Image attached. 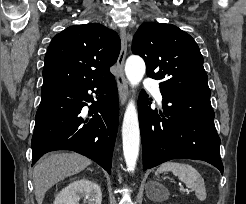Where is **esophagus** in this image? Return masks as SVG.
I'll use <instances>...</instances> for the list:
<instances>
[{
    "mask_svg": "<svg viewBox=\"0 0 246 204\" xmlns=\"http://www.w3.org/2000/svg\"><path fill=\"white\" fill-rule=\"evenodd\" d=\"M120 40H121V50L117 60L118 73L116 76V81H117L120 101L121 104L124 106L129 96L128 82L124 75V62L127 54V40H128V35L125 28L120 29Z\"/></svg>",
    "mask_w": 246,
    "mask_h": 204,
    "instance_id": "esophagus-1",
    "label": "esophagus"
}]
</instances>
